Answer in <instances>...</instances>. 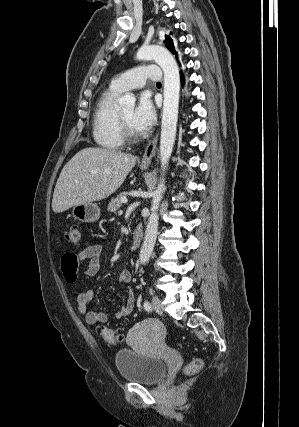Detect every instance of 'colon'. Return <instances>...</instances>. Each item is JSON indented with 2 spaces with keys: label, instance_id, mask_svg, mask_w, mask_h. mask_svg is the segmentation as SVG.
Segmentation results:
<instances>
[{
  "label": "colon",
  "instance_id": "5ec220e1",
  "mask_svg": "<svg viewBox=\"0 0 299 427\" xmlns=\"http://www.w3.org/2000/svg\"><path fill=\"white\" fill-rule=\"evenodd\" d=\"M64 238L66 242L71 245L78 246L82 242L81 230L78 225L70 226L64 233ZM98 335L104 341L110 344H116L122 341V335L110 328L99 327ZM203 366V360L200 358H194L189 363L186 364L184 372L186 375H194L197 373Z\"/></svg>",
  "mask_w": 299,
  "mask_h": 427
}]
</instances>
